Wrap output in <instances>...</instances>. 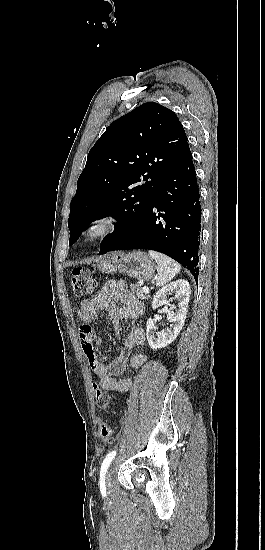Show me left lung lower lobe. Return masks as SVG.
I'll return each instance as SVG.
<instances>
[{
    "label": "left lung lower lobe",
    "mask_w": 265,
    "mask_h": 550,
    "mask_svg": "<svg viewBox=\"0 0 265 550\" xmlns=\"http://www.w3.org/2000/svg\"><path fill=\"white\" fill-rule=\"evenodd\" d=\"M200 230L199 188L188 147L137 224L115 243L100 246L99 254L126 249L155 250L178 261L198 280Z\"/></svg>",
    "instance_id": "1"
}]
</instances>
